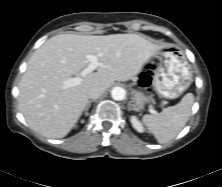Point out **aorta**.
Segmentation results:
<instances>
[{
  "label": "aorta",
  "mask_w": 222,
  "mask_h": 187,
  "mask_svg": "<svg viewBox=\"0 0 222 187\" xmlns=\"http://www.w3.org/2000/svg\"><path fill=\"white\" fill-rule=\"evenodd\" d=\"M111 96L114 100H123L126 96V91L122 87H114L111 91Z\"/></svg>",
  "instance_id": "762f6f07"
}]
</instances>
